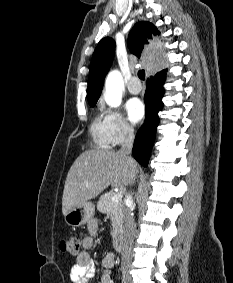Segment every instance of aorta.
Returning <instances> with one entry per match:
<instances>
[{
  "instance_id": "obj_1",
  "label": "aorta",
  "mask_w": 233,
  "mask_h": 283,
  "mask_svg": "<svg viewBox=\"0 0 233 283\" xmlns=\"http://www.w3.org/2000/svg\"><path fill=\"white\" fill-rule=\"evenodd\" d=\"M124 82L121 73L118 70L111 71L105 81L104 99L106 103L113 108L121 105Z\"/></svg>"
}]
</instances>
